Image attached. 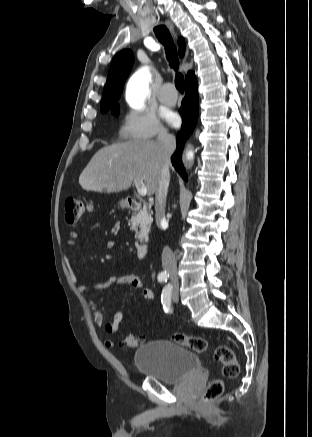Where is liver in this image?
<instances>
[{"instance_id":"6515ba94","label":"liver","mask_w":312,"mask_h":437,"mask_svg":"<svg viewBox=\"0 0 312 437\" xmlns=\"http://www.w3.org/2000/svg\"><path fill=\"white\" fill-rule=\"evenodd\" d=\"M159 143L129 140L100 149L79 177L84 190L116 193L127 190L135 179L145 182L148 195L156 193L161 169Z\"/></svg>"}]
</instances>
